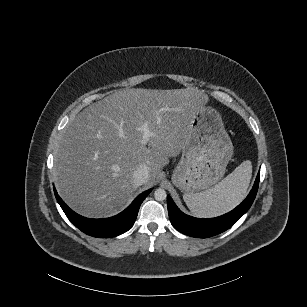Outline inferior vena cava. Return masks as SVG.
<instances>
[{"label": "inferior vena cava", "instance_id": "obj_1", "mask_svg": "<svg viewBox=\"0 0 307 307\" xmlns=\"http://www.w3.org/2000/svg\"><path fill=\"white\" fill-rule=\"evenodd\" d=\"M149 168L146 164H140L139 167L133 173V182L136 186H141L147 183L149 179Z\"/></svg>", "mask_w": 307, "mask_h": 307}]
</instances>
